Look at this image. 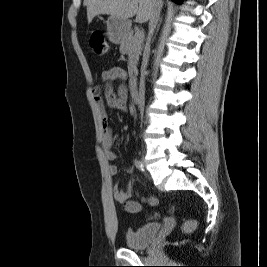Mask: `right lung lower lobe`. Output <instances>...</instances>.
Here are the masks:
<instances>
[{"label":"right lung lower lobe","mask_w":267,"mask_h":267,"mask_svg":"<svg viewBox=\"0 0 267 267\" xmlns=\"http://www.w3.org/2000/svg\"><path fill=\"white\" fill-rule=\"evenodd\" d=\"M172 1H174V2H176V3H178V4H180V3H182L183 0H172Z\"/></svg>","instance_id":"98d812e1"}]
</instances>
